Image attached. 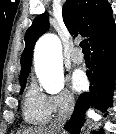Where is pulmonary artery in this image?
<instances>
[{"mask_svg": "<svg viewBox=\"0 0 116 134\" xmlns=\"http://www.w3.org/2000/svg\"><path fill=\"white\" fill-rule=\"evenodd\" d=\"M70 59L75 64H81L84 61L83 55L77 49L71 54Z\"/></svg>", "mask_w": 116, "mask_h": 134, "instance_id": "1", "label": "pulmonary artery"}]
</instances>
